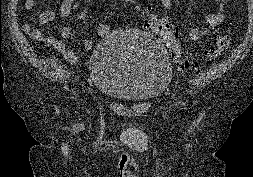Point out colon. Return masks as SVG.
Here are the masks:
<instances>
[{
	"label": "colon",
	"instance_id": "1",
	"mask_svg": "<svg viewBox=\"0 0 253 177\" xmlns=\"http://www.w3.org/2000/svg\"><path fill=\"white\" fill-rule=\"evenodd\" d=\"M129 8H141L138 0H113L112 13L118 15ZM145 26L149 32L156 35L169 49L179 70L196 69V64L184 58L183 49L178 40V32L172 22L167 18H160L150 12L148 8L142 9ZM232 43L230 34H221L214 37V45L209 51V57L214 58L229 48Z\"/></svg>",
	"mask_w": 253,
	"mask_h": 177
}]
</instances>
